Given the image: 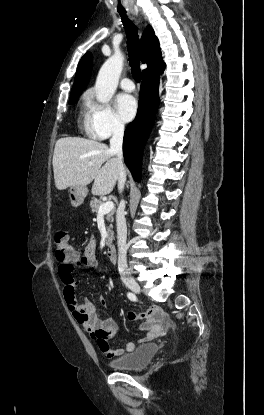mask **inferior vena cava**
Segmentation results:
<instances>
[{
    "label": "inferior vena cava",
    "instance_id": "1",
    "mask_svg": "<svg viewBox=\"0 0 264 415\" xmlns=\"http://www.w3.org/2000/svg\"><path fill=\"white\" fill-rule=\"evenodd\" d=\"M123 134H124V125L120 122L115 123L113 135L110 139V151L116 154V160L119 165L118 172V190L121 193L124 189L126 181V172L123 165V152H122V143H123ZM125 210V201L121 200L117 214H116V225H117V244H118V270L120 275L126 276L129 274L127 266V227L126 220L124 216Z\"/></svg>",
    "mask_w": 264,
    "mask_h": 415
}]
</instances>
